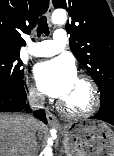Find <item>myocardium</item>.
Listing matches in <instances>:
<instances>
[{"instance_id":"f54148a6","label":"myocardium","mask_w":114,"mask_h":156,"mask_svg":"<svg viewBox=\"0 0 114 156\" xmlns=\"http://www.w3.org/2000/svg\"><path fill=\"white\" fill-rule=\"evenodd\" d=\"M77 79H79L80 81H82L88 86L90 90V95H91V102L88 108H86L85 110L73 111L69 109L61 100L58 103V108L62 114H64L66 117H69V118L88 117L94 114L100 106V94H99V90H98L96 83L89 76L85 74H81Z\"/></svg>"}]
</instances>
